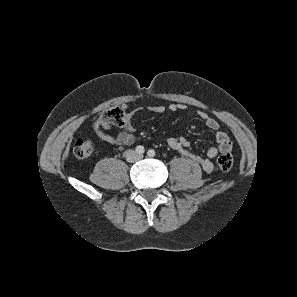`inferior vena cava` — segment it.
Instances as JSON below:
<instances>
[{"mask_svg":"<svg viewBox=\"0 0 297 297\" xmlns=\"http://www.w3.org/2000/svg\"><path fill=\"white\" fill-rule=\"evenodd\" d=\"M132 153L135 154L134 151H133ZM136 155H137L138 158H140V155H139V154H136ZM129 159H130V158H129V156H128V157H127V161H128V162H131L132 160H129Z\"/></svg>","mask_w":297,"mask_h":297,"instance_id":"obj_1","label":"inferior vena cava"}]
</instances>
